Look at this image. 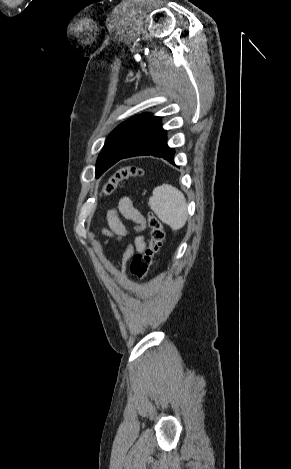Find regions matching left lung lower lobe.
I'll use <instances>...</instances> for the list:
<instances>
[{"instance_id": "left-lung-lower-lobe-1", "label": "left lung lower lobe", "mask_w": 291, "mask_h": 469, "mask_svg": "<svg viewBox=\"0 0 291 469\" xmlns=\"http://www.w3.org/2000/svg\"><path fill=\"white\" fill-rule=\"evenodd\" d=\"M142 155L162 157L167 161L174 163V150L168 147L166 131L162 128V126L145 136L126 153L120 156L116 162L124 158Z\"/></svg>"}]
</instances>
